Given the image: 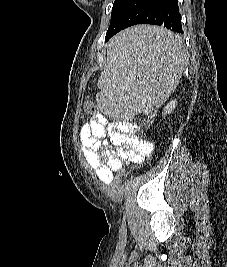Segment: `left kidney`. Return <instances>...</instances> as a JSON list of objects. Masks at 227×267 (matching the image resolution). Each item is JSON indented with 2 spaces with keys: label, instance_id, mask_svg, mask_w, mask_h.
Segmentation results:
<instances>
[{
  "label": "left kidney",
  "instance_id": "left-kidney-1",
  "mask_svg": "<svg viewBox=\"0 0 227 267\" xmlns=\"http://www.w3.org/2000/svg\"><path fill=\"white\" fill-rule=\"evenodd\" d=\"M176 105H177V101L176 100H172V101H170L166 106H165V108H164V115L165 114H170V113H172V111L175 109V107H176Z\"/></svg>",
  "mask_w": 227,
  "mask_h": 267
}]
</instances>
